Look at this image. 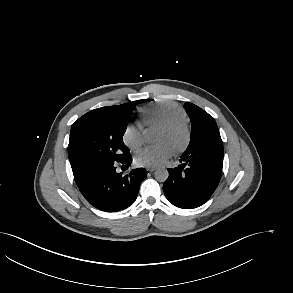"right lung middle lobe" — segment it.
Wrapping results in <instances>:
<instances>
[{
    "label": "right lung middle lobe",
    "mask_w": 293,
    "mask_h": 293,
    "mask_svg": "<svg viewBox=\"0 0 293 293\" xmlns=\"http://www.w3.org/2000/svg\"><path fill=\"white\" fill-rule=\"evenodd\" d=\"M144 101L93 110L72 125L68 154L75 176H87L101 166L121 162L130 155L122 138L131 112Z\"/></svg>",
    "instance_id": "1"
}]
</instances>
